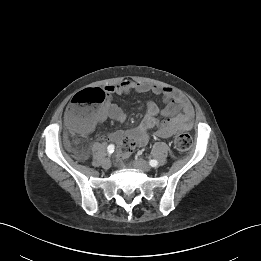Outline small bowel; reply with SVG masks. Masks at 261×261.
<instances>
[{
  "instance_id": "small-bowel-1",
  "label": "small bowel",
  "mask_w": 261,
  "mask_h": 261,
  "mask_svg": "<svg viewBox=\"0 0 261 261\" xmlns=\"http://www.w3.org/2000/svg\"><path fill=\"white\" fill-rule=\"evenodd\" d=\"M105 89L106 99L94 111L92 125L87 132L93 131L96 126L109 119L116 122L125 120L124 110L113 102L114 95H126L131 92L160 95L163 106L159 107L155 102H148L145 115L137 127L110 133L102 138L103 141L117 143L125 138H130L134 141L135 146L143 147L148 143L149 131L152 129L155 130L156 137L170 138L179 131L192 128L194 112L190 102L170 87L124 80L118 84L108 85ZM159 115H162L164 119H161Z\"/></svg>"
}]
</instances>
